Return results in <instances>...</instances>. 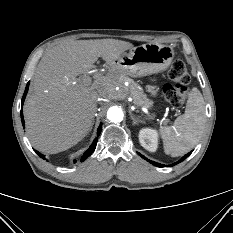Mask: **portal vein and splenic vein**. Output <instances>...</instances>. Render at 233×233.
Returning <instances> with one entry per match:
<instances>
[{
	"mask_svg": "<svg viewBox=\"0 0 233 233\" xmlns=\"http://www.w3.org/2000/svg\"><path fill=\"white\" fill-rule=\"evenodd\" d=\"M81 81L84 86H89L91 84L92 79L91 77H84Z\"/></svg>",
	"mask_w": 233,
	"mask_h": 233,
	"instance_id": "1",
	"label": "portal vein and splenic vein"
}]
</instances>
